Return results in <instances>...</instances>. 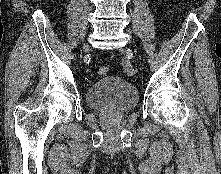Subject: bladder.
I'll use <instances>...</instances> for the list:
<instances>
[{
    "mask_svg": "<svg viewBox=\"0 0 221 174\" xmlns=\"http://www.w3.org/2000/svg\"><path fill=\"white\" fill-rule=\"evenodd\" d=\"M88 105L97 111L127 112L136 107L138 91L134 85L115 75H106L87 90Z\"/></svg>",
    "mask_w": 221,
    "mask_h": 174,
    "instance_id": "bladder-1",
    "label": "bladder"
}]
</instances>
